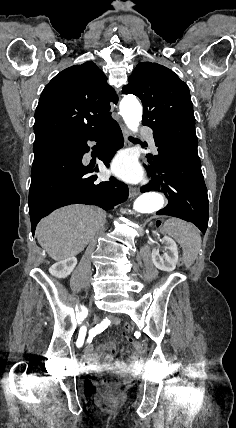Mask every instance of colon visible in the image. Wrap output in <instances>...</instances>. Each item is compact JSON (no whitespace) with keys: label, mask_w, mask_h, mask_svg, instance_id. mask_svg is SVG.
Wrapping results in <instances>:
<instances>
[{"label":"colon","mask_w":236,"mask_h":428,"mask_svg":"<svg viewBox=\"0 0 236 428\" xmlns=\"http://www.w3.org/2000/svg\"><path fill=\"white\" fill-rule=\"evenodd\" d=\"M131 330V325L130 324H128V323H126L125 325H124V331L125 332H129Z\"/></svg>","instance_id":"5ec220e1"}]
</instances>
